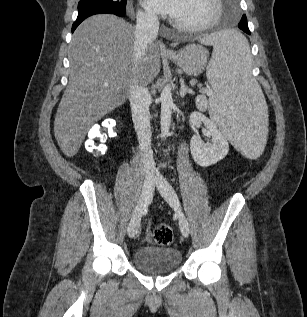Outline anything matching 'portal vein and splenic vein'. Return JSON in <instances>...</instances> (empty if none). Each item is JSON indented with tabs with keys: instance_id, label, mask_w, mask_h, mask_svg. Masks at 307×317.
<instances>
[{
	"instance_id": "18ae733b",
	"label": "portal vein and splenic vein",
	"mask_w": 307,
	"mask_h": 317,
	"mask_svg": "<svg viewBox=\"0 0 307 317\" xmlns=\"http://www.w3.org/2000/svg\"><path fill=\"white\" fill-rule=\"evenodd\" d=\"M105 86H108V84H105ZM205 92L209 95V96H212L213 95V92L211 89H205Z\"/></svg>"
}]
</instances>
